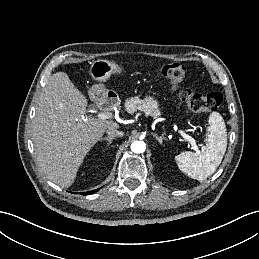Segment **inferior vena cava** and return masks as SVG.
<instances>
[{"label":"inferior vena cava","mask_w":259,"mask_h":259,"mask_svg":"<svg viewBox=\"0 0 259 259\" xmlns=\"http://www.w3.org/2000/svg\"><path fill=\"white\" fill-rule=\"evenodd\" d=\"M106 133L109 136H114V137H122L124 135L122 131H119L118 129H113V128L107 129Z\"/></svg>","instance_id":"1"}]
</instances>
